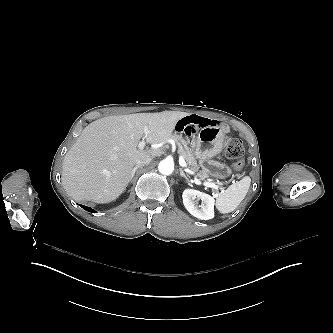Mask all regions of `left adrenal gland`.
Masks as SVG:
<instances>
[{
    "label": "left adrenal gland",
    "mask_w": 333,
    "mask_h": 333,
    "mask_svg": "<svg viewBox=\"0 0 333 333\" xmlns=\"http://www.w3.org/2000/svg\"><path fill=\"white\" fill-rule=\"evenodd\" d=\"M180 170V175L182 176V177H184L188 182H189V176H187L185 173H184V171H183V169L182 168H180L179 169Z\"/></svg>",
    "instance_id": "1"
}]
</instances>
